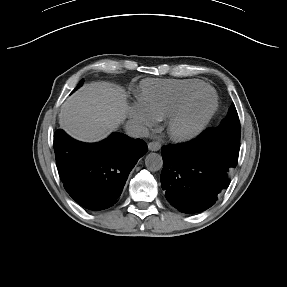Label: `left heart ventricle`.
I'll list each match as a JSON object with an SVG mask.
<instances>
[{
	"instance_id": "obj_1",
	"label": "left heart ventricle",
	"mask_w": 287,
	"mask_h": 287,
	"mask_svg": "<svg viewBox=\"0 0 287 287\" xmlns=\"http://www.w3.org/2000/svg\"><path fill=\"white\" fill-rule=\"evenodd\" d=\"M212 104V97L209 93H202L198 95L188 107L184 118V124L190 125L201 117H203L209 110Z\"/></svg>"
}]
</instances>
